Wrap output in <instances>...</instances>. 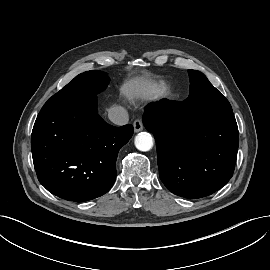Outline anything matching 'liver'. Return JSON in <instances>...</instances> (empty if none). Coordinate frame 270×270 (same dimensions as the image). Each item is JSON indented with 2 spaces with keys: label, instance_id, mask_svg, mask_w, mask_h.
<instances>
[{
  "label": "liver",
  "instance_id": "1",
  "mask_svg": "<svg viewBox=\"0 0 270 270\" xmlns=\"http://www.w3.org/2000/svg\"><path fill=\"white\" fill-rule=\"evenodd\" d=\"M154 87L155 83L152 79L139 76L124 83L120 90L123 95L131 97L133 95L150 93Z\"/></svg>",
  "mask_w": 270,
  "mask_h": 270
}]
</instances>
